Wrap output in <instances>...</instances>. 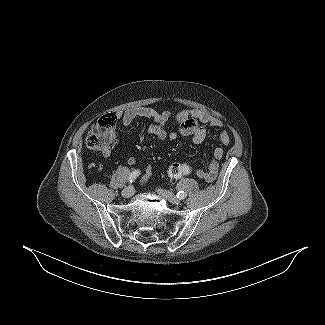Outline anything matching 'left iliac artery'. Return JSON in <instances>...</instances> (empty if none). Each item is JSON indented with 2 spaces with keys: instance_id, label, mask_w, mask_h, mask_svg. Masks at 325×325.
Instances as JSON below:
<instances>
[{
  "instance_id": "44dca946",
  "label": "left iliac artery",
  "mask_w": 325,
  "mask_h": 325,
  "mask_svg": "<svg viewBox=\"0 0 325 325\" xmlns=\"http://www.w3.org/2000/svg\"><path fill=\"white\" fill-rule=\"evenodd\" d=\"M177 198H179V199H185L186 198V196H187V193L186 192H184V191H179V192H177Z\"/></svg>"
}]
</instances>
